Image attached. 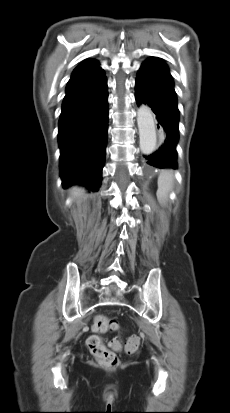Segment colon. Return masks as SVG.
<instances>
[{"mask_svg": "<svg viewBox=\"0 0 230 413\" xmlns=\"http://www.w3.org/2000/svg\"><path fill=\"white\" fill-rule=\"evenodd\" d=\"M117 328V323L115 319L98 315L93 324V329L95 332L103 333L108 330H115ZM140 339L138 335H132L127 343V352H135L139 346ZM87 346L93 356L97 361L107 367H116L119 364L118 356L110 350L98 336H91L88 339Z\"/></svg>", "mask_w": 230, "mask_h": 413, "instance_id": "1", "label": "colon"}]
</instances>
